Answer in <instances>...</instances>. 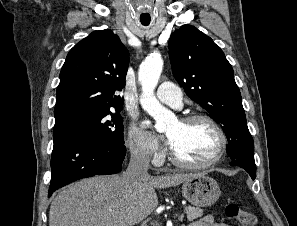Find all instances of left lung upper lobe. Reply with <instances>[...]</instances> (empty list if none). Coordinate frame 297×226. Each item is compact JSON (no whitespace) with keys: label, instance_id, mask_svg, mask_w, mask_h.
I'll return each instance as SVG.
<instances>
[{"label":"left lung upper lobe","instance_id":"obj_1","mask_svg":"<svg viewBox=\"0 0 297 226\" xmlns=\"http://www.w3.org/2000/svg\"><path fill=\"white\" fill-rule=\"evenodd\" d=\"M169 55L173 75L187 96L224 130L231 160H254L240 90L220 47L196 27L184 25L170 37Z\"/></svg>","mask_w":297,"mask_h":226}]
</instances>
